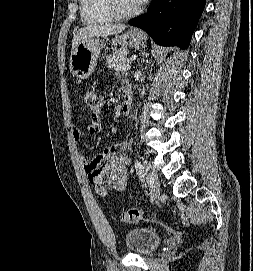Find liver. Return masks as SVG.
<instances>
[{
    "instance_id": "obj_1",
    "label": "liver",
    "mask_w": 253,
    "mask_h": 271,
    "mask_svg": "<svg viewBox=\"0 0 253 271\" xmlns=\"http://www.w3.org/2000/svg\"><path fill=\"white\" fill-rule=\"evenodd\" d=\"M126 25L122 24H105V25H90L79 29L74 33L72 40V51L74 47L81 41L94 37H106L115 33H120L125 30Z\"/></svg>"
}]
</instances>
